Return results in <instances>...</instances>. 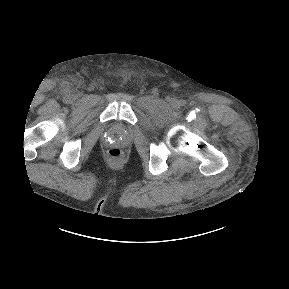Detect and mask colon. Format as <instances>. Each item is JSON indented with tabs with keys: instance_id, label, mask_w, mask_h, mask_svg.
<instances>
[{
	"instance_id": "5ec220e1",
	"label": "colon",
	"mask_w": 289,
	"mask_h": 289,
	"mask_svg": "<svg viewBox=\"0 0 289 289\" xmlns=\"http://www.w3.org/2000/svg\"><path fill=\"white\" fill-rule=\"evenodd\" d=\"M107 154L109 156V158L112 160V161H120L122 156H123V152L120 148L118 147H112L110 148L108 151H107Z\"/></svg>"
}]
</instances>
